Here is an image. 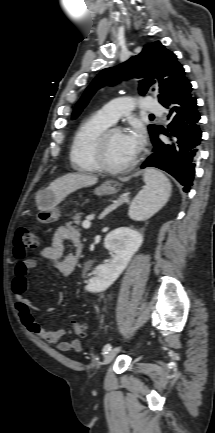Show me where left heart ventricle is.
Returning <instances> with one entry per match:
<instances>
[{
  "label": "left heart ventricle",
  "mask_w": 215,
  "mask_h": 433,
  "mask_svg": "<svg viewBox=\"0 0 215 433\" xmlns=\"http://www.w3.org/2000/svg\"><path fill=\"white\" fill-rule=\"evenodd\" d=\"M135 153L132 152L127 144L125 134L123 132H114L111 134L106 150L108 162L112 166H122L130 162Z\"/></svg>",
  "instance_id": "left-heart-ventricle-1"
}]
</instances>
